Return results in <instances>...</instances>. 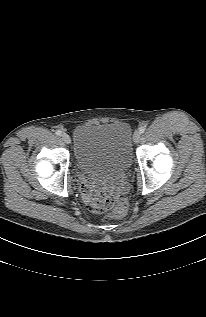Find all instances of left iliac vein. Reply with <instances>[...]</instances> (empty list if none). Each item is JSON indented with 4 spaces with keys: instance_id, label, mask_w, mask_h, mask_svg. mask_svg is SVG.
<instances>
[{
    "instance_id": "left-iliac-vein-1",
    "label": "left iliac vein",
    "mask_w": 206,
    "mask_h": 317,
    "mask_svg": "<svg viewBox=\"0 0 206 317\" xmlns=\"http://www.w3.org/2000/svg\"><path fill=\"white\" fill-rule=\"evenodd\" d=\"M140 138H141V133L139 131H136L133 135L134 143H138L140 141Z\"/></svg>"
}]
</instances>
